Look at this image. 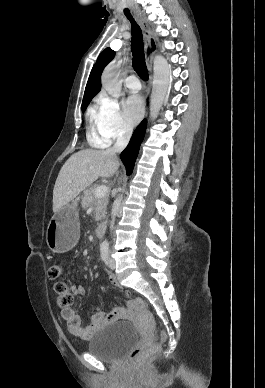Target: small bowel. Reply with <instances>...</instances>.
I'll list each match as a JSON object with an SVG mask.
<instances>
[{
  "instance_id": "small-bowel-1",
  "label": "small bowel",
  "mask_w": 265,
  "mask_h": 388,
  "mask_svg": "<svg viewBox=\"0 0 265 388\" xmlns=\"http://www.w3.org/2000/svg\"><path fill=\"white\" fill-rule=\"evenodd\" d=\"M108 280L113 287H119L114 275L109 274ZM71 289L75 295L82 296L85 293V290L81 285H72ZM61 316L65 320L67 329L71 334L81 339H89L103 326L121 318L123 312L118 310L106 314L99 309L87 323L83 322L80 316L72 308L63 309Z\"/></svg>"
}]
</instances>
